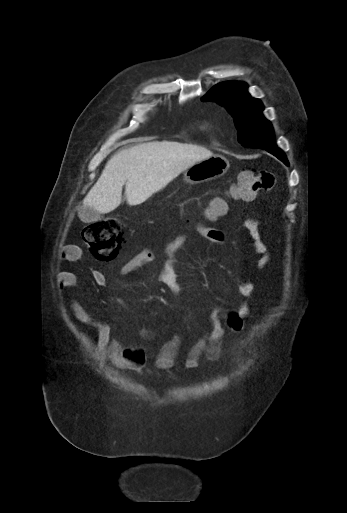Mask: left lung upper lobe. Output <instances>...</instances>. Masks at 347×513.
Masks as SVG:
<instances>
[{
  "label": "left lung upper lobe",
  "instance_id": "left-lung-upper-lobe-1",
  "mask_svg": "<svg viewBox=\"0 0 347 513\" xmlns=\"http://www.w3.org/2000/svg\"><path fill=\"white\" fill-rule=\"evenodd\" d=\"M243 82H225L214 86L202 101H216L233 116L238 130V141L244 147L277 148L271 123L262 114L260 100L250 96Z\"/></svg>",
  "mask_w": 347,
  "mask_h": 513
}]
</instances>
